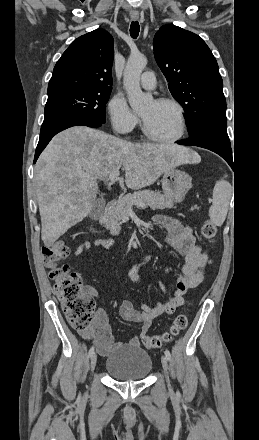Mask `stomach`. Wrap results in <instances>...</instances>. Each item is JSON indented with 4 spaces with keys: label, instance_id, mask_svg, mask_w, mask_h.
<instances>
[{
    "label": "stomach",
    "instance_id": "1",
    "mask_svg": "<svg viewBox=\"0 0 259 440\" xmlns=\"http://www.w3.org/2000/svg\"><path fill=\"white\" fill-rule=\"evenodd\" d=\"M192 186V178L184 171L170 169L164 172L162 189L164 195L174 203H180Z\"/></svg>",
    "mask_w": 259,
    "mask_h": 440
}]
</instances>
